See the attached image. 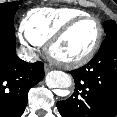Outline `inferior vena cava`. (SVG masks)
Listing matches in <instances>:
<instances>
[{"label":"inferior vena cava","mask_w":117,"mask_h":117,"mask_svg":"<svg viewBox=\"0 0 117 117\" xmlns=\"http://www.w3.org/2000/svg\"><path fill=\"white\" fill-rule=\"evenodd\" d=\"M17 55L22 60L28 62H36L39 59L38 55L35 52L27 50L26 48L18 49Z\"/></svg>","instance_id":"602c4592"}]
</instances>
